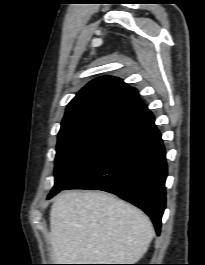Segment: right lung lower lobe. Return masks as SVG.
<instances>
[{"label": "right lung lower lobe", "instance_id": "obj_1", "mask_svg": "<svg viewBox=\"0 0 205 265\" xmlns=\"http://www.w3.org/2000/svg\"><path fill=\"white\" fill-rule=\"evenodd\" d=\"M166 153L148 111L124 130L65 189H97L142 209L159 235L165 209ZM55 194H50L48 199Z\"/></svg>", "mask_w": 205, "mask_h": 265}]
</instances>
